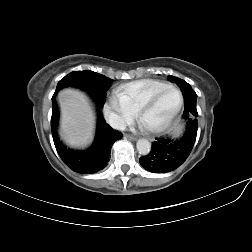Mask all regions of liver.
Returning a JSON list of instances; mask_svg holds the SVG:
<instances>
[{"label": "liver", "instance_id": "obj_1", "mask_svg": "<svg viewBox=\"0 0 252 252\" xmlns=\"http://www.w3.org/2000/svg\"><path fill=\"white\" fill-rule=\"evenodd\" d=\"M61 107L60 134L72 147H84L93 138L95 116L86 95L75 89L58 94Z\"/></svg>", "mask_w": 252, "mask_h": 252}]
</instances>
